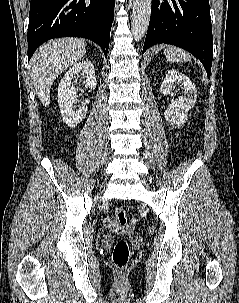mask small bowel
<instances>
[{
	"mask_svg": "<svg viewBox=\"0 0 239 303\" xmlns=\"http://www.w3.org/2000/svg\"><path fill=\"white\" fill-rule=\"evenodd\" d=\"M104 224H105L106 227H108L110 229H118V226H117L116 222L111 218H106L104 220ZM134 224H135V221L133 220L131 225L133 226Z\"/></svg>",
	"mask_w": 239,
	"mask_h": 303,
	"instance_id": "1",
	"label": "small bowel"
}]
</instances>
